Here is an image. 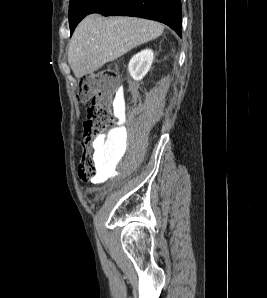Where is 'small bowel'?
Instances as JSON below:
<instances>
[{
	"label": "small bowel",
	"instance_id": "obj_1",
	"mask_svg": "<svg viewBox=\"0 0 267 298\" xmlns=\"http://www.w3.org/2000/svg\"><path fill=\"white\" fill-rule=\"evenodd\" d=\"M111 137H112V133H109V134L106 136L107 141H109V140L111 139ZM91 193H92V191L89 190V191H88V194H91Z\"/></svg>",
	"mask_w": 267,
	"mask_h": 298
}]
</instances>
